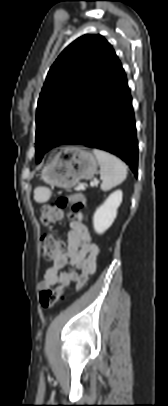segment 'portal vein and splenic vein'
<instances>
[{"mask_svg": "<svg viewBox=\"0 0 168 406\" xmlns=\"http://www.w3.org/2000/svg\"><path fill=\"white\" fill-rule=\"evenodd\" d=\"M97 184H98V182H91V183H90V186L94 187V186H96Z\"/></svg>", "mask_w": 168, "mask_h": 406, "instance_id": "18ae733b", "label": "portal vein and splenic vein"}]
</instances>
